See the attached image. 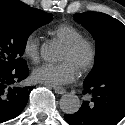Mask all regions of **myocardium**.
Instances as JSON below:
<instances>
[{"label":"myocardium","mask_w":125,"mask_h":125,"mask_svg":"<svg viewBox=\"0 0 125 125\" xmlns=\"http://www.w3.org/2000/svg\"><path fill=\"white\" fill-rule=\"evenodd\" d=\"M65 48L71 53H76L82 48L87 50V58L79 68L81 73H86L93 67L96 60L97 50L95 44L90 39L80 37L73 40L72 42L65 44Z\"/></svg>","instance_id":"obj_1"}]
</instances>
